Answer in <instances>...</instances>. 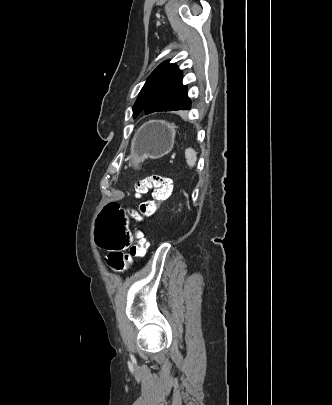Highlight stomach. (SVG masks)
<instances>
[{
    "instance_id": "1",
    "label": "stomach",
    "mask_w": 332,
    "mask_h": 405,
    "mask_svg": "<svg viewBox=\"0 0 332 405\" xmlns=\"http://www.w3.org/2000/svg\"><path fill=\"white\" fill-rule=\"evenodd\" d=\"M175 127L162 121H150L135 134L132 141L130 166L138 168L147 158L158 159L171 152Z\"/></svg>"
}]
</instances>
